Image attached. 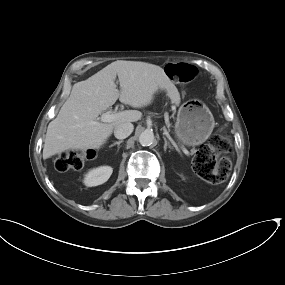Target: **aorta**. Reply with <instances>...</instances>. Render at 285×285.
Listing matches in <instances>:
<instances>
[{"instance_id": "obj_1", "label": "aorta", "mask_w": 285, "mask_h": 285, "mask_svg": "<svg viewBox=\"0 0 285 285\" xmlns=\"http://www.w3.org/2000/svg\"><path fill=\"white\" fill-rule=\"evenodd\" d=\"M155 142L154 133L150 130L143 131L139 136V143L142 146H150Z\"/></svg>"}]
</instances>
